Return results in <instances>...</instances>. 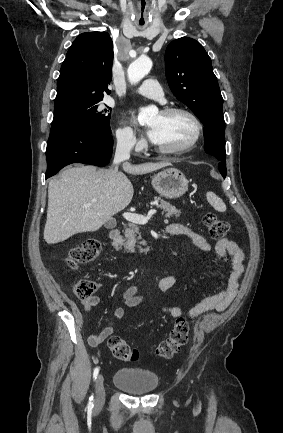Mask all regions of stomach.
<instances>
[{
    "mask_svg": "<svg viewBox=\"0 0 283 433\" xmlns=\"http://www.w3.org/2000/svg\"><path fill=\"white\" fill-rule=\"evenodd\" d=\"M153 188L166 198H178L188 190V180L177 168H165L152 178Z\"/></svg>",
    "mask_w": 283,
    "mask_h": 433,
    "instance_id": "stomach-1",
    "label": "stomach"
}]
</instances>
